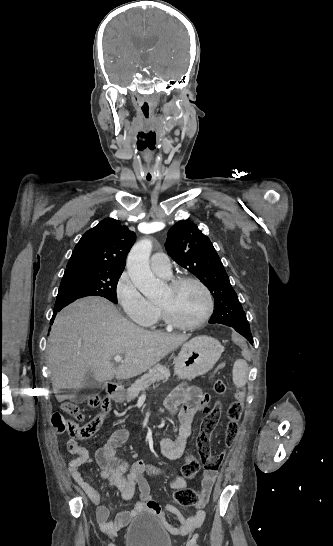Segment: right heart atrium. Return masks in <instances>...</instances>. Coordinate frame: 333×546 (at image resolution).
Masks as SVG:
<instances>
[{
  "mask_svg": "<svg viewBox=\"0 0 333 546\" xmlns=\"http://www.w3.org/2000/svg\"><path fill=\"white\" fill-rule=\"evenodd\" d=\"M115 297L126 317L137 324L149 326L158 318V308L144 297L126 272L117 280Z\"/></svg>",
  "mask_w": 333,
  "mask_h": 546,
  "instance_id": "obj_1",
  "label": "right heart atrium"
}]
</instances>
